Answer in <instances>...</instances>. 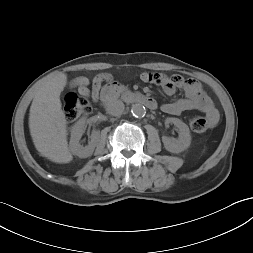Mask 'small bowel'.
Returning a JSON list of instances; mask_svg holds the SVG:
<instances>
[{
  "instance_id": "obj_1",
  "label": "small bowel",
  "mask_w": 253,
  "mask_h": 253,
  "mask_svg": "<svg viewBox=\"0 0 253 253\" xmlns=\"http://www.w3.org/2000/svg\"><path fill=\"white\" fill-rule=\"evenodd\" d=\"M140 79L144 82L159 84L167 95H173L178 89L184 91V98L164 103L161 106L163 112L179 115L185 111L197 110L206 115L210 127L216 125L219 119L218 110L199 81L180 75L170 76L164 73L154 74L151 72H142ZM110 80L112 77L108 74H98L91 80L85 76H79L71 82V86L76 87L81 95L90 97L94 102H97L103 84Z\"/></svg>"
}]
</instances>
